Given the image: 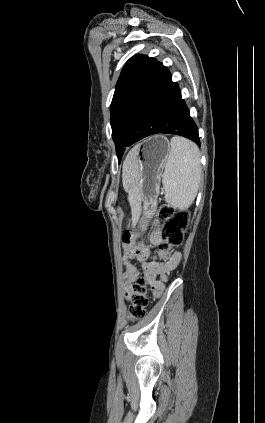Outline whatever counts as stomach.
I'll use <instances>...</instances> for the list:
<instances>
[{
  "instance_id": "obj_1",
  "label": "stomach",
  "mask_w": 265,
  "mask_h": 423,
  "mask_svg": "<svg viewBox=\"0 0 265 423\" xmlns=\"http://www.w3.org/2000/svg\"><path fill=\"white\" fill-rule=\"evenodd\" d=\"M169 153L170 143L162 135L149 137L134 148L138 172L135 187L144 199V227L154 216L159 183Z\"/></svg>"
}]
</instances>
